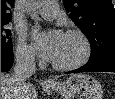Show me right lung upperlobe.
I'll return each instance as SVG.
<instances>
[{
  "label": "right lung upper lobe",
  "instance_id": "1",
  "mask_svg": "<svg viewBox=\"0 0 115 99\" xmlns=\"http://www.w3.org/2000/svg\"><path fill=\"white\" fill-rule=\"evenodd\" d=\"M14 4V0H1V23H9L12 19L10 9Z\"/></svg>",
  "mask_w": 115,
  "mask_h": 99
}]
</instances>
